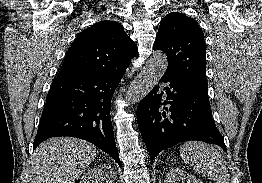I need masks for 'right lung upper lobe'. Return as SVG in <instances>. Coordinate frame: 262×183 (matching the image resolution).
<instances>
[{
  "instance_id": "cb5924a9",
  "label": "right lung upper lobe",
  "mask_w": 262,
  "mask_h": 183,
  "mask_svg": "<svg viewBox=\"0 0 262 183\" xmlns=\"http://www.w3.org/2000/svg\"><path fill=\"white\" fill-rule=\"evenodd\" d=\"M137 52L120 23L100 21L75 38L56 79L120 73Z\"/></svg>"
}]
</instances>
